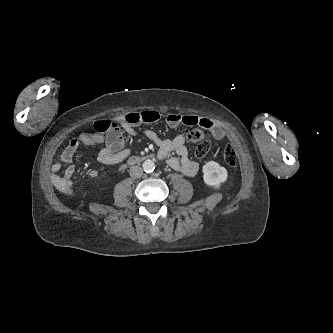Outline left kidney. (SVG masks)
<instances>
[{"label":"left kidney","instance_id":"left-kidney-1","mask_svg":"<svg viewBox=\"0 0 333 333\" xmlns=\"http://www.w3.org/2000/svg\"><path fill=\"white\" fill-rule=\"evenodd\" d=\"M203 179L208 186L219 187L226 181L227 170L215 161H209L203 166Z\"/></svg>","mask_w":333,"mask_h":333}]
</instances>
